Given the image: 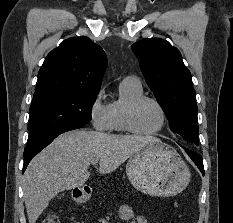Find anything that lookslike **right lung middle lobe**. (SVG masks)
I'll use <instances>...</instances> for the list:
<instances>
[{"label":"right lung middle lobe","instance_id":"dd1d6c3e","mask_svg":"<svg viewBox=\"0 0 233 223\" xmlns=\"http://www.w3.org/2000/svg\"><path fill=\"white\" fill-rule=\"evenodd\" d=\"M97 94L98 92L55 91L34 95L25 156L39 150L63 129L87 124L91 120Z\"/></svg>","mask_w":233,"mask_h":223}]
</instances>
